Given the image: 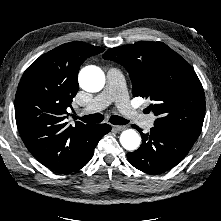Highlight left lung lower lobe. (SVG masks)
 <instances>
[{
  "instance_id": "1",
  "label": "left lung lower lobe",
  "mask_w": 221,
  "mask_h": 221,
  "mask_svg": "<svg viewBox=\"0 0 221 221\" xmlns=\"http://www.w3.org/2000/svg\"><path fill=\"white\" fill-rule=\"evenodd\" d=\"M141 137L142 145L127 153V158L135 168L148 174H160L175 167L195 143V140L156 126L150 133H141Z\"/></svg>"
}]
</instances>
